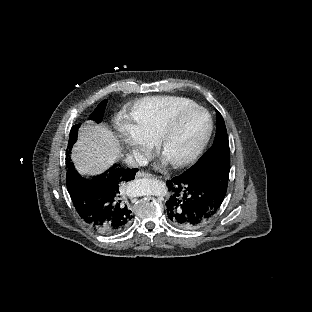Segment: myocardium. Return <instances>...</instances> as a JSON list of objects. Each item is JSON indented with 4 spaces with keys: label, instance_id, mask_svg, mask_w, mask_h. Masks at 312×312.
I'll list each match as a JSON object with an SVG mask.
<instances>
[{
    "label": "myocardium",
    "instance_id": "f54148a6",
    "mask_svg": "<svg viewBox=\"0 0 312 312\" xmlns=\"http://www.w3.org/2000/svg\"><path fill=\"white\" fill-rule=\"evenodd\" d=\"M196 118L202 122L204 131L199 134L200 140L196 139L193 142V146L196 148L195 152L192 149H188L184 156H180L167 146L170 145L171 138L176 131V126L180 122L185 123L188 119L192 120ZM164 128L162 134L157 138L156 147L160 150L161 154L166 155V157L173 161L172 166L176 170L190 168L201 160L202 156L207 152L206 147L210 144L211 133L214 130L210 114L200 105H191L179 109L177 113L168 119Z\"/></svg>",
    "mask_w": 312,
    "mask_h": 312
}]
</instances>
